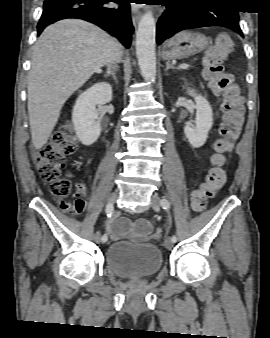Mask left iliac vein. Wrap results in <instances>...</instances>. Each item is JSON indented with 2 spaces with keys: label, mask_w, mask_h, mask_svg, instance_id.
<instances>
[{
  "label": "left iliac vein",
  "mask_w": 270,
  "mask_h": 338,
  "mask_svg": "<svg viewBox=\"0 0 270 338\" xmlns=\"http://www.w3.org/2000/svg\"><path fill=\"white\" fill-rule=\"evenodd\" d=\"M160 204H161V199L159 196L157 195H154L152 196V199H151V207L154 209V210H159L160 208ZM164 245L167 249H171L173 247V242L171 241L170 238H166L165 241H164Z\"/></svg>",
  "instance_id": "obj_1"
}]
</instances>
